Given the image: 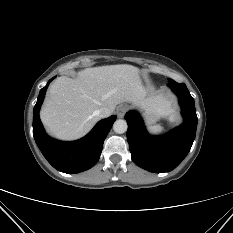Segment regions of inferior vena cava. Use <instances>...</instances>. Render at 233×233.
<instances>
[{
    "instance_id": "1",
    "label": "inferior vena cava",
    "mask_w": 233,
    "mask_h": 233,
    "mask_svg": "<svg viewBox=\"0 0 233 233\" xmlns=\"http://www.w3.org/2000/svg\"><path fill=\"white\" fill-rule=\"evenodd\" d=\"M95 114L100 118H106L111 115V111L108 108H101L95 112Z\"/></svg>"
}]
</instances>
